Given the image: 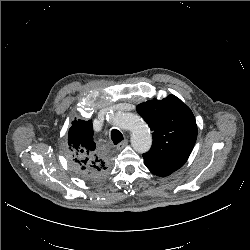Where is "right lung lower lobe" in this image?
Returning <instances> with one entry per match:
<instances>
[{
  "label": "right lung lower lobe",
  "instance_id": "right-lung-lower-lobe-1",
  "mask_svg": "<svg viewBox=\"0 0 250 250\" xmlns=\"http://www.w3.org/2000/svg\"><path fill=\"white\" fill-rule=\"evenodd\" d=\"M73 169L76 173L80 176V178L86 181H97L105 177L108 172V168L101 169V170H82L78 165L72 163Z\"/></svg>",
  "mask_w": 250,
  "mask_h": 250
}]
</instances>
